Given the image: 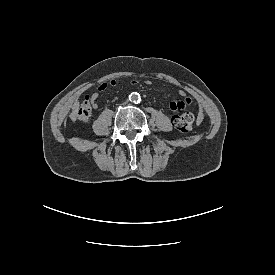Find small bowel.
Segmentation results:
<instances>
[{
	"label": "small bowel",
	"instance_id": "1",
	"mask_svg": "<svg viewBox=\"0 0 275 275\" xmlns=\"http://www.w3.org/2000/svg\"><path fill=\"white\" fill-rule=\"evenodd\" d=\"M137 82H134V84H136ZM107 88L106 83H102L99 86V91L94 92L91 96H90V101H91V105L93 108H97L98 107V97H99V92L100 91H104ZM180 95L184 96L185 92L184 91H180ZM192 103V99L190 97H185L182 100H178V101H173L169 104V108L171 110H184L186 107H188L190 104ZM204 119V114L202 111H198L197 113V124H200Z\"/></svg>",
	"mask_w": 275,
	"mask_h": 275
}]
</instances>
